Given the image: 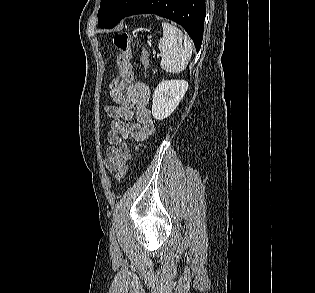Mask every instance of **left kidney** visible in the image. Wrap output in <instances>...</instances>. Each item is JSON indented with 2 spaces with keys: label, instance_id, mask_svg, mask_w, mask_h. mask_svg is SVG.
I'll return each mask as SVG.
<instances>
[{
  "label": "left kidney",
  "instance_id": "obj_1",
  "mask_svg": "<svg viewBox=\"0 0 315 293\" xmlns=\"http://www.w3.org/2000/svg\"><path fill=\"white\" fill-rule=\"evenodd\" d=\"M188 89L184 80H164L158 84L153 93L152 115L156 120L170 116Z\"/></svg>",
  "mask_w": 315,
  "mask_h": 293
}]
</instances>
